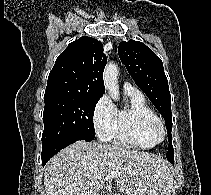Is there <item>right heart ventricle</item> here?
<instances>
[{
	"instance_id": "right-heart-ventricle-1",
	"label": "right heart ventricle",
	"mask_w": 211,
	"mask_h": 195,
	"mask_svg": "<svg viewBox=\"0 0 211 195\" xmlns=\"http://www.w3.org/2000/svg\"><path fill=\"white\" fill-rule=\"evenodd\" d=\"M125 94L129 103L121 110L115 109L111 140L129 148L152 149L157 142L147 135L145 126L148 121L159 118L141 93Z\"/></svg>"
}]
</instances>
